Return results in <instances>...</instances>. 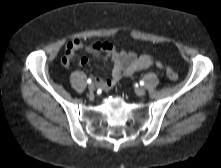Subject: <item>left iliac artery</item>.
I'll return each instance as SVG.
<instances>
[{"label":"left iliac artery","mask_w":221,"mask_h":168,"mask_svg":"<svg viewBox=\"0 0 221 168\" xmlns=\"http://www.w3.org/2000/svg\"><path fill=\"white\" fill-rule=\"evenodd\" d=\"M145 83L144 81H140V85L143 86Z\"/></svg>","instance_id":"1"}]
</instances>
